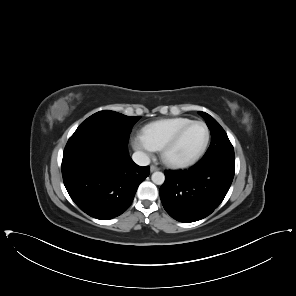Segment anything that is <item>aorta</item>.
<instances>
[{
    "instance_id": "762f6f07",
    "label": "aorta",
    "mask_w": 296,
    "mask_h": 296,
    "mask_svg": "<svg viewBox=\"0 0 296 296\" xmlns=\"http://www.w3.org/2000/svg\"><path fill=\"white\" fill-rule=\"evenodd\" d=\"M151 180L156 185H162L165 181V175L162 172L156 171L152 174Z\"/></svg>"
}]
</instances>
